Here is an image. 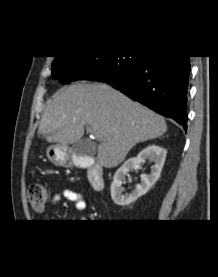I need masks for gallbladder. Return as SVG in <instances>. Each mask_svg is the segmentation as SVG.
Listing matches in <instances>:
<instances>
[{"label": "gallbladder", "instance_id": "obj_1", "mask_svg": "<svg viewBox=\"0 0 218 277\" xmlns=\"http://www.w3.org/2000/svg\"><path fill=\"white\" fill-rule=\"evenodd\" d=\"M73 151L76 155L84 156V155H94L95 148L94 146L89 142V140L81 139L77 141L73 145Z\"/></svg>", "mask_w": 218, "mask_h": 277}]
</instances>
